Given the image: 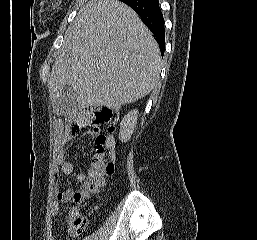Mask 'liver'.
Returning a JSON list of instances; mask_svg holds the SVG:
<instances>
[{"instance_id": "1", "label": "liver", "mask_w": 257, "mask_h": 240, "mask_svg": "<svg viewBox=\"0 0 257 240\" xmlns=\"http://www.w3.org/2000/svg\"><path fill=\"white\" fill-rule=\"evenodd\" d=\"M161 72V53L136 12L117 0H90L71 22L48 88L56 102L70 87L81 107L121 105L148 95Z\"/></svg>"}]
</instances>
